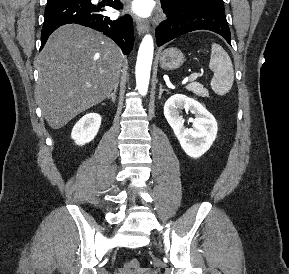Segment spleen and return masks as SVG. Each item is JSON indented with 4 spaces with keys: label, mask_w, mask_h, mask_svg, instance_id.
Listing matches in <instances>:
<instances>
[{
    "label": "spleen",
    "mask_w": 289,
    "mask_h": 274,
    "mask_svg": "<svg viewBox=\"0 0 289 274\" xmlns=\"http://www.w3.org/2000/svg\"><path fill=\"white\" fill-rule=\"evenodd\" d=\"M209 68L214 72L211 88L218 95H225L234 81V70L227 52L217 43L211 46Z\"/></svg>",
    "instance_id": "3e777b00"
}]
</instances>
